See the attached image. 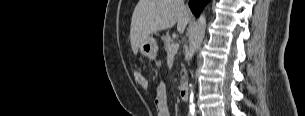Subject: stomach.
<instances>
[{
  "label": "stomach",
  "mask_w": 305,
  "mask_h": 116,
  "mask_svg": "<svg viewBox=\"0 0 305 116\" xmlns=\"http://www.w3.org/2000/svg\"><path fill=\"white\" fill-rule=\"evenodd\" d=\"M139 50L144 56L155 60L158 53L157 41L152 36H148L139 46Z\"/></svg>",
  "instance_id": "obj_1"
}]
</instances>
